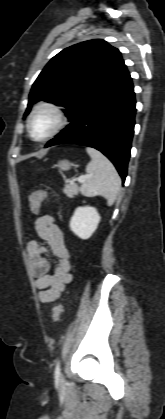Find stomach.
Masks as SVG:
<instances>
[{
  "label": "stomach",
  "instance_id": "stomach-1",
  "mask_svg": "<svg viewBox=\"0 0 165 419\" xmlns=\"http://www.w3.org/2000/svg\"><path fill=\"white\" fill-rule=\"evenodd\" d=\"M61 170H69L71 168V166H73L72 163H70L68 160H62L58 163L57 165Z\"/></svg>",
  "mask_w": 165,
  "mask_h": 419
}]
</instances>
